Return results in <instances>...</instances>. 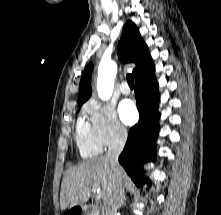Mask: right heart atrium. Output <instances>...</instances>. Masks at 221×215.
I'll use <instances>...</instances> for the list:
<instances>
[{
	"mask_svg": "<svg viewBox=\"0 0 221 215\" xmlns=\"http://www.w3.org/2000/svg\"><path fill=\"white\" fill-rule=\"evenodd\" d=\"M84 111L90 119L93 134L101 146H112L126 139L127 130L119 121L112 104L91 100L85 105Z\"/></svg>",
	"mask_w": 221,
	"mask_h": 215,
	"instance_id": "obj_1",
	"label": "right heart atrium"
}]
</instances>
